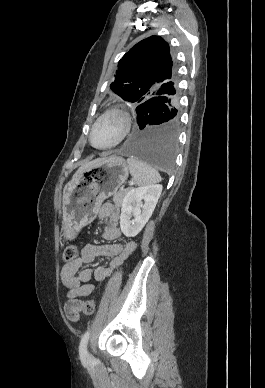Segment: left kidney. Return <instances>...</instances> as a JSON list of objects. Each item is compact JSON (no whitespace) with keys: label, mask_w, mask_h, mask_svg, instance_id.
I'll return each instance as SVG.
<instances>
[{"label":"left kidney","mask_w":265,"mask_h":388,"mask_svg":"<svg viewBox=\"0 0 265 388\" xmlns=\"http://www.w3.org/2000/svg\"><path fill=\"white\" fill-rule=\"evenodd\" d=\"M161 192L162 186L160 184L144 186V188H130L124 196L121 208L120 228L124 236L134 238L141 232L151 218ZM142 200H144V204ZM131 216L135 218L133 222L130 220Z\"/></svg>","instance_id":"left-kidney-1"}]
</instances>
